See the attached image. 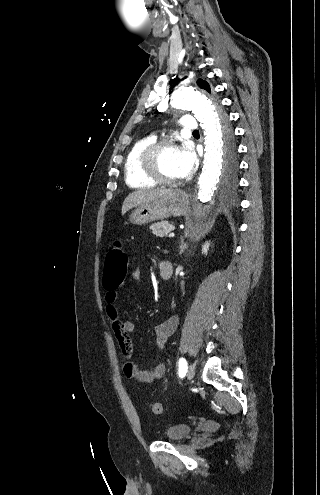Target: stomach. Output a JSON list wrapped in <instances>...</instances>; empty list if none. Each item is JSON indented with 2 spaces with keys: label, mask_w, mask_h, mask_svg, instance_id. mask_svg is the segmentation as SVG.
I'll use <instances>...</instances> for the list:
<instances>
[{
  "label": "stomach",
  "mask_w": 320,
  "mask_h": 495,
  "mask_svg": "<svg viewBox=\"0 0 320 495\" xmlns=\"http://www.w3.org/2000/svg\"><path fill=\"white\" fill-rule=\"evenodd\" d=\"M188 209V196L181 190H172L159 198L144 203L130 215V222L136 225L164 220L170 216L179 217Z\"/></svg>",
  "instance_id": "0dacf381"
}]
</instances>
